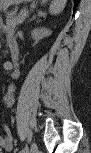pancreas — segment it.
I'll use <instances>...</instances> for the list:
<instances>
[{
    "instance_id": "pancreas-1",
    "label": "pancreas",
    "mask_w": 91,
    "mask_h": 153,
    "mask_svg": "<svg viewBox=\"0 0 91 153\" xmlns=\"http://www.w3.org/2000/svg\"><path fill=\"white\" fill-rule=\"evenodd\" d=\"M24 12H27V11H22L20 15L15 16V17L8 16L6 19L7 26L14 30L16 26L19 23L23 22V20L25 19V16H23Z\"/></svg>"
}]
</instances>
